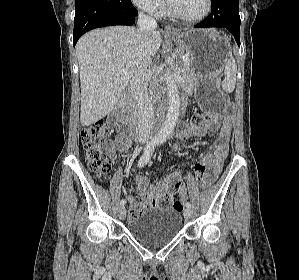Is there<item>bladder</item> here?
I'll return each mask as SVG.
<instances>
[{
	"label": "bladder",
	"mask_w": 299,
	"mask_h": 280,
	"mask_svg": "<svg viewBox=\"0 0 299 280\" xmlns=\"http://www.w3.org/2000/svg\"><path fill=\"white\" fill-rule=\"evenodd\" d=\"M181 228V213L164 207L148 208L128 224L129 233L150 248L167 244L179 234Z\"/></svg>",
	"instance_id": "bladder-1"
}]
</instances>
